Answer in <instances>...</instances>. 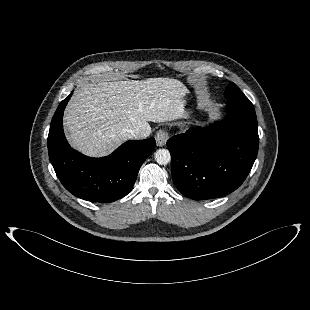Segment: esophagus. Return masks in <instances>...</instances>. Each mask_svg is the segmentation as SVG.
<instances>
[{
    "label": "esophagus",
    "mask_w": 310,
    "mask_h": 310,
    "mask_svg": "<svg viewBox=\"0 0 310 310\" xmlns=\"http://www.w3.org/2000/svg\"><path fill=\"white\" fill-rule=\"evenodd\" d=\"M168 137H169V135H168L167 131H165L163 129L157 131V133L155 135L157 146H159V147L164 146L168 140Z\"/></svg>",
    "instance_id": "esophagus-1"
}]
</instances>
